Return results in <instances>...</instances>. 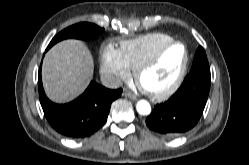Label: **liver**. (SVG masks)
<instances>
[{"mask_svg":"<svg viewBox=\"0 0 249 165\" xmlns=\"http://www.w3.org/2000/svg\"><path fill=\"white\" fill-rule=\"evenodd\" d=\"M93 71V58L87 46L79 40H64L53 46L43 60L44 90L54 102H69L87 88Z\"/></svg>","mask_w":249,"mask_h":165,"instance_id":"6515ba94","label":"liver"}]
</instances>
